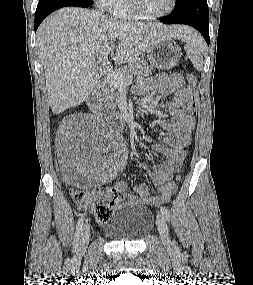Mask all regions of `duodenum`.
<instances>
[{"label":"duodenum","mask_w":253,"mask_h":285,"mask_svg":"<svg viewBox=\"0 0 253 285\" xmlns=\"http://www.w3.org/2000/svg\"><path fill=\"white\" fill-rule=\"evenodd\" d=\"M102 84H99L96 90L91 94L88 99V106L90 110L97 116L102 117L105 116L113 125L125 128L126 121L125 119L116 112L107 111L102 103Z\"/></svg>","instance_id":"410a0bca"}]
</instances>
